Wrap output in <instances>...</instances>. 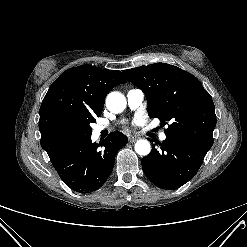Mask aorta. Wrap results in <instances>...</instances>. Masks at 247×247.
I'll return each instance as SVG.
<instances>
[{
	"label": "aorta",
	"mask_w": 247,
	"mask_h": 247,
	"mask_svg": "<svg viewBox=\"0 0 247 247\" xmlns=\"http://www.w3.org/2000/svg\"><path fill=\"white\" fill-rule=\"evenodd\" d=\"M126 98L120 92H111L107 95L106 106L112 113H121L126 108ZM135 151L141 156H146L151 152V145L148 140L141 139L135 143Z\"/></svg>",
	"instance_id": "obj_1"
}]
</instances>
